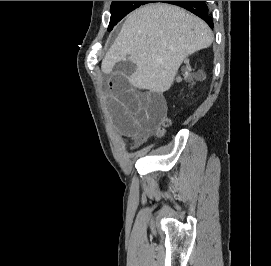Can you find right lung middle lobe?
I'll return each mask as SVG.
<instances>
[{
	"label": "right lung middle lobe",
	"mask_w": 271,
	"mask_h": 266,
	"mask_svg": "<svg viewBox=\"0 0 271 266\" xmlns=\"http://www.w3.org/2000/svg\"><path fill=\"white\" fill-rule=\"evenodd\" d=\"M156 2V1H113L111 4V18L108 30L111 31L113 27L128 13L141 5Z\"/></svg>",
	"instance_id": "obj_1"
}]
</instances>
